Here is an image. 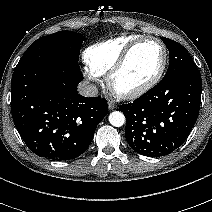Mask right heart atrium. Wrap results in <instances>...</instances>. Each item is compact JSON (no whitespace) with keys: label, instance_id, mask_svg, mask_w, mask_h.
<instances>
[{"label":"right heart atrium","instance_id":"obj_1","mask_svg":"<svg viewBox=\"0 0 212 212\" xmlns=\"http://www.w3.org/2000/svg\"><path fill=\"white\" fill-rule=\"evenodd\" d=\"M84 74L85 76L93 81V82H98L100 80L101 75L92 70L90 67H85L84 68Z\"/></svg>","mask_w":212,"mask_h":212}]
</instances>
